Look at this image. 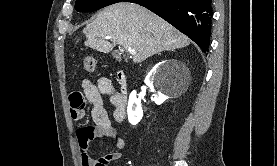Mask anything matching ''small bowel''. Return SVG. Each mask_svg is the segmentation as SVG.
Returning <instances> with one entry per match:
<instances>
[{"label":"small bowel","instance_id":"c3829d8e","mask_svg":"<svg viewBox=\"0 0 277 166\" xmlns=\"http://www.w3.org/2000/svg\"><path fill=\"white\" fill-rule=\"evenodd\" d=\"M82 92L74 91L69 95L70 115L74 120H81L85 116V104L92 105L91 116L93 126H84L77 131V140L80 153L81 166H111V163L122 157L121 150L125 141L118 135L117 129L103 104V96H108L115 107L113 117L117 123L124 119L119 109V94L115 91L112 82L106 77H100L96 83L84 79L81 83ZM97 138L111 139L115 143L116 151L104 154L95 160L89 154L90 143Z\"/></svg>","mask_w":277,"mask_h":166}]
</instances>
